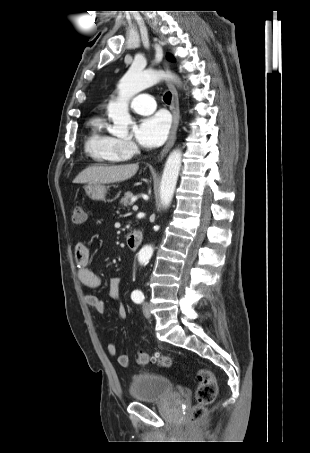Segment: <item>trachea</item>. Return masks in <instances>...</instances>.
<instances>
[{
    "mask_svg": "<svg viewBox=\"0 0 310 453\" xmlns=\"http://www.w3.org/2000/svg\"><path fill=\"white\" fill-rule=\"evenodd\" d=\"M164 101H165V103L170 104V102H171V93L170 92L165 94Z\"/></svg>",
    "mask_w": 310,
    "mask_h": 453,
    "instance_id": "trachea-1",
    "label": "trachea"
}]
</instances>
